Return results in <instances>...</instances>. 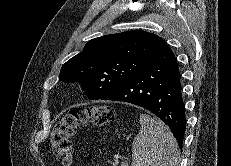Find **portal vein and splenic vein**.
I'll return each instance as SVG.
<instances>
[{"label": "portal vein and splenic vein", "instance_id": "obj_1", "mask_svg": "<svg viewBox=\"0 0 231 166\" xmlns=\"http://www.w3.org/2000/svg\"><path fill=\"white\" fill-rule=\"evenodd\" d=\"M122 166H128V164L126 162H123Z\"/></svg>", "mask_w": 231, "mask_h": 166}]
</instances>
